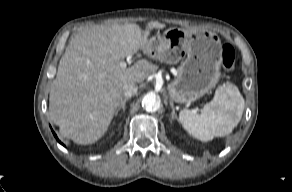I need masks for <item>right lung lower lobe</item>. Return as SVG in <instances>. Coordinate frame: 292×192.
<instances>
[{"instance_id":"right-lung-lower-lobe-1","label":"right lung lower lobe","mask_w":292,"mask_h":192,"mask_svg":"<svg viewBox=\"0 0 292 192\" xmlns=\"http://www.w3.org/2000/svg\"><path fill=\"white\" fill-rule=\"evenodd\" d=\"M53 132V131H52ZM53 134H54V136L56 137V134L53 132ZM56 139H57V141L60 143V144H62L59 140H58V138L56 137Z\"/></svg>"}]
</instances>
